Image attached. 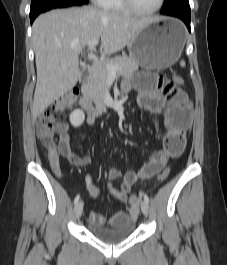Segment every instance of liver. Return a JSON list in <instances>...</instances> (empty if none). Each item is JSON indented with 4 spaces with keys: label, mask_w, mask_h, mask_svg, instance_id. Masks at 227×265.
Wrapping results in <instances>:
<instances>
[{
    "label": "liver",
    "mask_w": 227,
    "mask_h": 265,
    "mask_svg": "<svg viewBox=\"0 0 227 265\" xmlns=\"http://www.w3.org/2000/svg\"><path fill=\"white\" fill-rule=\"evenodd\" d=\"M148 23L147 19L91 6L57 9L37 17L32 26L37 69L33 117L76 85L79 55L88 42L101 38V53L114 54Z\"/></svg>",
    "instance_id": "liver-1"
}]
</instances>
